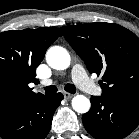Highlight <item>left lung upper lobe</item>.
Returning a JSON list of instances; mask_svg holds the SVG:
<instances>
[{
	"mask_svg": "<svg viewBox=\"0 0 139 139\" xmlns=\"http://www.w3.org/2000/svg\"><path fill=\"white\" fill-rule=\"evenodd\" d=\"M90 73L102 76V97L112 99L139 91V38L105 22L60 28Z\"/></svg>",
	"mask_w": 139,
	"mask_h": 139,
	"instance_id": "1",
	"label": "left lung upper lobe"
}]
</instances>
